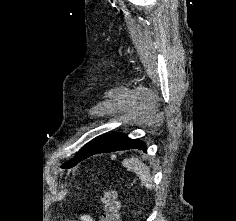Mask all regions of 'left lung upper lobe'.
Segmentation results:
<instances>
[{"label":"left lung upper lobe","mask_w":236,"mask_h":221,"mask_svg":"<svg viewBox=\"0 0 236 221\" xmlns=\"http://www.w3.org/2000/svg\"><path fill=\"white\" fill-rule=\"evenodd\" d=\"M79 153V152H78ZM78 153L74 156L73 159L67 161L66 163H64L62 165V168L64 169H68V168H71L73 166H75L77 164V156H78Z\"/></svg>","instance_id":"5c2ea615"}]
</instances>
